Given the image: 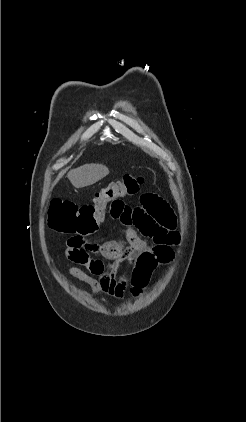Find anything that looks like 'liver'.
<instances>
[{
  "label": "liver",
  "instance_id": "liver-1",
  "mask_svg": "<svg viewBox=\"0 0 246 422\" xmlns=\"http://www.w3.org/2000/svg\"><path fill=\"white\" fill-rule=\"evenodd\" d=\"M109 174V169L101 164H86L72 169L67 174L68 179L75 188L92 185Z\"/></svg>",
  "mask_w": 246,
  "mask_h": 422
}]
</instances>
